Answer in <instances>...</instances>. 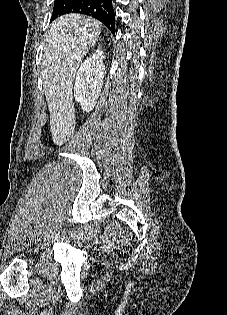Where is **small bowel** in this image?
<instances>
[{
  "mask_svg": "<svg viewBox=\"0 0 227 315\" xmlns=\"http://www.w3.org/2000/svg\"><path fill=\"white\" fill-rule=\"evenodd\" d=\"M118 226L117 225H113L110 227V229L107 232L106 238L104 243L107 246H114L117 244L118 240H117V233H118Z\"/></svg>",
  "mask_w": 227,
  "mask_h": 315,
  "instance_id": "c3829d8e",
  "label": "small bowel"
}]
</instances>
